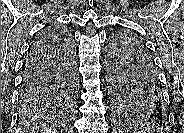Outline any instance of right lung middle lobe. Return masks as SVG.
Here are the masks:
<instances>
[{
    "mask_svg": "<svg viewBox=\"0 0 184 133\" xmlns=\"http://www.w3.org/2000/svg\"><path fill=\"white\" fill-rule=\"evenodd\" d=\"M49 29L56 32L57 35L60 36L59 38L65 40V44L67 46V49L64 51L65 73L61 83L58 85L56 94L52 99L35 104L19 103L20 114L25 118L43 115L50 112L69 110L74 106L77 73L74 65L71 37L69 32L61 26H52L49 27Z\"/></svg>",
    "mask_w": 184,
    "mask_h": 133,
    "instance_id": "1",
    "label": "right lung middle lobe"
}]
</instances>
